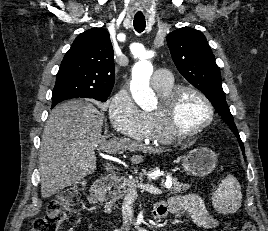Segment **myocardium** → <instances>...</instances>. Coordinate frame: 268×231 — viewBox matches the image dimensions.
Here are the masks:
<instances>
[{"mask_svg": "<svg viewBox=\"0 0 268 231\" xmlns=\"http://www.w3.org/2000/svg\"><path fill=\"white\" fill-rule=\"evenodd\" d=\"M186 92L196 94L207 106L208 117L197 128L190 131H182L177 127L176 108L179 99ZM159 114L165 133L172 139H187L202 133L209 125L212 124L215 116L214 106L209 97L200 89L190 86L182 85L174 88L164 99H162L156 109Z\"/></svg>", "mask_w": 268, "mask_h": 231, "instance_id": "obj_1", "label": "myocardium"}]
</instances>
